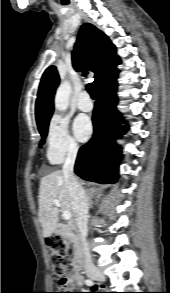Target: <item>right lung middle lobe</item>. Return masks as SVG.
I'll return each mask as SVG.
<instances>
[{"label":"right lung middle lobe","mask_w":170,"mask_h":293,"mask_svg":"<svg viewBox=\"0 0 170 293\" xmlns=\"http://www.w3.org/2000/svg\"><path fill=\"white\" fill-rule=\"evenodd\" d=\"M47 129H48V125L45 126V127H43V128H41V129H39L40 134H41V136H42L41 144H43L44 141H45V138H46V136H47ZM41 144H40V145H41Z\"/></svg>","instance_id":"right-lung-middle-lobe-1"}]
</instances>
